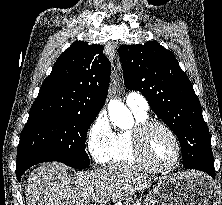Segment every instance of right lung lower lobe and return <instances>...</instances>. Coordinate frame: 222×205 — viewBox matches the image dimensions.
Instances as JSON below:
<instances>
[{
  "instance_id": "obj_1",
  "label": "right lung lower lobe",
  "mask_w": 222,
  "mask_h": 205,
  "mask_svg": "<svg viewBox=\"0 0 222 205\" xmlns=\"http://www.w3.org/2000/svg\"><path fill=\"white\" fill-rule=\"evenodd\" d=\"M50 161L48 158L43 156H31L22 159H17L16 163V176L18 181L21 179V175L31 166L41 163Z\"/></svg>"
}]
</instances>
